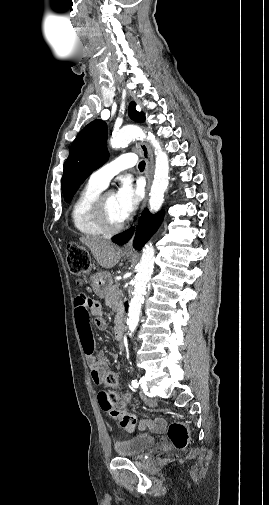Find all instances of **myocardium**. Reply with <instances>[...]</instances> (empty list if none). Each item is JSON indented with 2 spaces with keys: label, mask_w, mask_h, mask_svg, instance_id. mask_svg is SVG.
<instances>
[{
  "label": "myocardium",
  "mask_w": 269,
  "mask_h": 505,
  "mask_svg": "<svg viewBox=\"0 0 269 505\" xmlns=\"http://www.w3.org/2000/svg\"><path fill=\"white\" fill-rule=\"evenodd\" d=\"M108 193L106 194H101L98 196L94 203L93 207V212L94 216L96 218V221L100 225V227L106 232V233H116L120 230H122L125 226V222H121L118 224H113L107 215V211L105 208V197Z\"/></svg>",
  "instance_id": "1"
}]
</instances>
